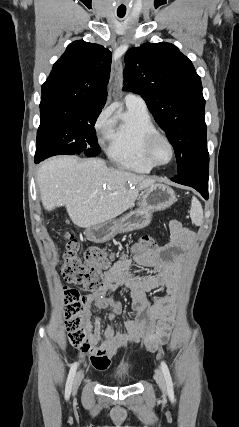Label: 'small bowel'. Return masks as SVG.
<instances>
[{
    "label": "small bowel",
    "mask_w": 239,
    "mask_h": 427,
    "mask_svg": "<svg viewBox=\"0 0 239 427\" xmlns=\"http://www.w3.org/2000/svg\"><path fill=\"white\" fill-rule=\"evenodd\" d=\"M191 242L190 232L179 222H171V240L152 252L135 250L134 260L142 267L150 268L153 273L139 276L131 270L130 261L122 259L114 263L103 276L101 287L89 297L98 309L110 307L109 318L114 320L121 312L122 306L109 294L119 287H125L131 294V311L134 319L122 321V330L117 331L111 324L102 330V322L95 320L89 336L91 348L89 361L98 370L107 369L112 358L122 349L137 344L145 345L149 350H156L158 344L143 336L145 326L152 320H158V327L167 337L172 329L175 314V294L177 292V274L184 251ZM158 288H165L169 295L150 303L146 294Z\"/></svg>",
    "instance_id": "c3829d8e"
}]
</instances>
